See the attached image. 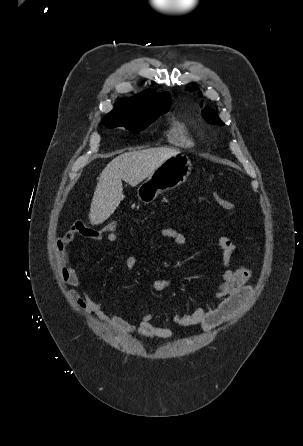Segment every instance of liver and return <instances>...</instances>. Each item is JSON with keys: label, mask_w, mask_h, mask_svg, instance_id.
<instances>
[{"label": "liver", "mask_w": 303, "mask_h": 446, "mask_svg": "<svg viewBox=\"0 0 303 446\" xmlns=\"http://www.w3.org/2000/svg\"><path fill=\"white\" fill-rule=\"evenodd\" d=\"M177 154L176 149L155 148L130 151L114 158L100 174L91 202L90 223L101 224L114 213L124 199L122 180L134 187Z\"/></svg>", "instance_id": "1"}]
</instances>
